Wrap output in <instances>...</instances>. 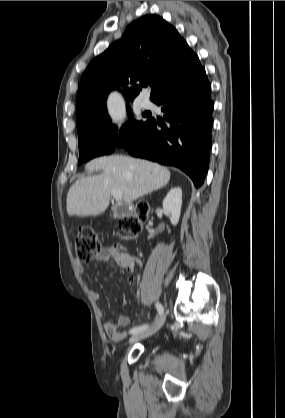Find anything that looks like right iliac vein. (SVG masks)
Masks as SVG:
<instances>
[{
    "label": "right iliac vein",
    "instance_id": "obj_1",
    "mask_svg": "<svg viewBox=\"0 0 285 418\" xmlns=\"http://www.w3.org/2000/svg\"><path fill=\"white\" fill-rule=\"evenodd\" d=\"M164 322H165V316L161 315L152 326H150L149 328L143 331L134 333L130 337L129 342L131 343L136 342V341L142 340L144 338H147L155 334L163 326Z\"/></svg>",
    "mask_w": 285,
    "mask_h": 418
}]
</instances>
